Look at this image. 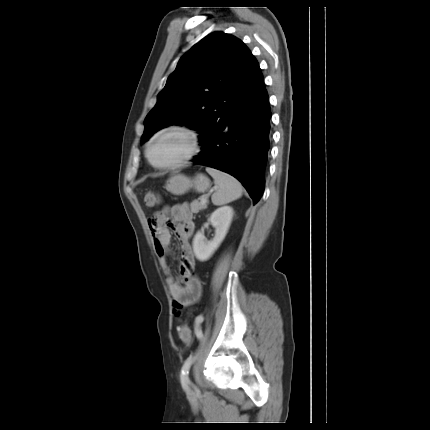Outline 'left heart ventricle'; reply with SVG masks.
Listing matches in <instances>:
<instances>
[{
  "label": "left heart ventricle",
  "mask_w": 430,
  "mask_h": 430,
  "mask_svg": "<svg viewBox=\"0 0 430 430\" xmlns=\"http://www.w3.org/2000/svg\"><path fill=\"white\" fill-rule=\"evenodd\" d=\"M189 148V137L182 132L172 131L161 135L154 141L150 149V156L155 163L167 165L183 157Z\"/></svg>",
  "instance_id": "left-heart-ventricle-1"
}]
</instances>
